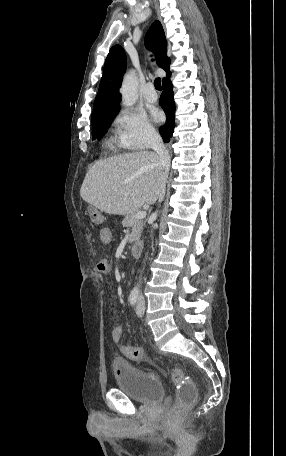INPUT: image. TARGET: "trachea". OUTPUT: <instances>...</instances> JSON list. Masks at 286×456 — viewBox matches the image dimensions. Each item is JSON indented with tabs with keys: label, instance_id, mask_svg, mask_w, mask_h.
I'll list each match as a JSON object with an SVG mask.
<instances>
[{
	"label": "trachea",
	"instance_id": "3493384b",
	"mask_svg": "<svg viewBox=\"0 0 286 456\" xmlns=\"http://www.w3.org/2000/svg\"><path fill=\"white\" fill-rule=\"evenodd\" d=\"M154 86L157 90L161 91L162 90V86H161V81H160V78H156L154 80Z\"/></svg>",
	"mask_w": 286,
	"mask_h": 456
}]
</instances>
